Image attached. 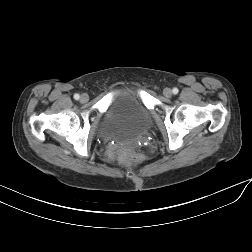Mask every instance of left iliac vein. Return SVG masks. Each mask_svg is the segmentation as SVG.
Listing matches in <instances>:
<instances>
[{
  "instance_id": "obj_1",
  "label": "left iliac vein",
  "mask_w": 252,
  "mask_h": 252,
  "mask_svg": "<svg viewBox=\"0 0 252 252\" xmlns=\"http://www.w3.org/2000/svg\"><path fill=\"white\" fill-rule=\"evenodd\" d=\"M163 94L165 97H171L172 96V90L170 88H165L163 90Z\"/></svg>"
}]
</instances>
